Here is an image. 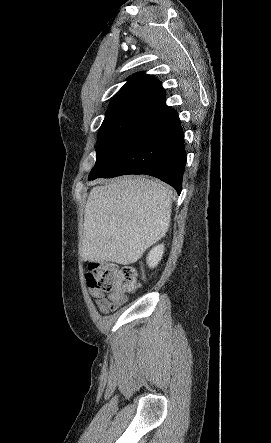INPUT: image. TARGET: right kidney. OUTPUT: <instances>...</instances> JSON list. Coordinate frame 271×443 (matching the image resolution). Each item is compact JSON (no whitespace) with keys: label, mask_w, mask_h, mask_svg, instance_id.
Segmentation results:
<instances>
[{"label":"right kidney","mask_w":271,"mask_h":443,"mask_svg":"<svg viewBox=\"0 0 271 443\" xmlns=\"http://www.w3.org/2000/svg\"><path fill=\"white\" fill-rule=\"evenodd\" d=\"M162 253H164L163 243H160V245H155V247L150 249L147 255V263L149 267H155V265H157L158 261L162 259Z\"/></svg>","instance_id":"right-kidney-1"}]
</instances>
